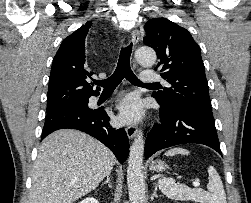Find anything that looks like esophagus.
<instances>
[{
	"label": "esophagus",
	"instance_id": "1",
	"mask_svg": "<svg viewBox=\"0 0 251 203\" xmlns=\"http://www.w3.org/2000/svg\"><path fill=\"white\" fill-rule=\"evenodd\" d=\"M139 38H140V33L138 30H133L132 32V36H131V39H132V42L136 45L139 41ZM134 65H135V61H133ZM126 133H127V136L129 139H133L137 133V129L134 125H128L126 127Z\"/></svg>",
	"mask_w": 251,
	"mask_h": 203
}]
</instances>
